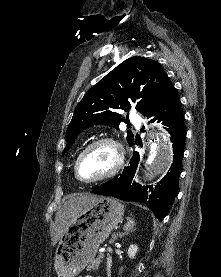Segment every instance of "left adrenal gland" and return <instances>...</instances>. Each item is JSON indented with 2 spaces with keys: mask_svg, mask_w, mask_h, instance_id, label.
Returning <instances> with one entry per match:
<instances>
[{
  "mask_svg": "<svg viewBox=\"0 0 221 277\" xmlns=\"http://www.w3.org/2000/svg\"><path fill=\"white\" fill-rule=\"evenodd\" d=\"M123 235H124V233H114L112 235V238H111L110 242L111 243L114 242L118 237H122Z\"/></svg>",
  "mask_w": 221,
  "mask_h": 277,
  "instance_id": "left-adrenal-gland-1",
  "label": "left adrenal gland"
}]
</instances>
